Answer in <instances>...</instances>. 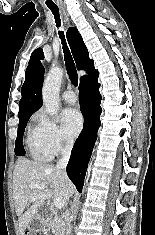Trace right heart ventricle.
<instances>
[{
    "label": "right heart ventricle",
    "instance_id": "1",
    "mask_svg": "<svg viewBox=\"0 0 155 235\" xmlns=\"http://www.w3.org/2000/svg\"><path fill=\"white\" fill-rule=\"evenodd\" d=\"M27 148L31 157L37 161H48L52 155L41 144L35 128H31L27 136Z\"/></svg>",
    "mask_w": 155,
    "mask_h": 235
}]
</instances>
